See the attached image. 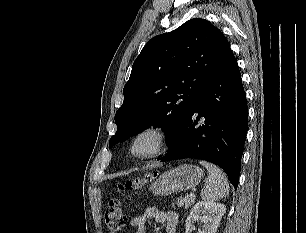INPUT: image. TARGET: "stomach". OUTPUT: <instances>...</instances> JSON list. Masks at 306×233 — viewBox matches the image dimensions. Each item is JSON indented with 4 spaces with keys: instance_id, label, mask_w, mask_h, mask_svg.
<instances>
[{
    "instance_id": "0dacf381",
    "label": "stomach",
    "mask_w": 306,
    "mask_h": 233,
    "mask_svg": "<svg viewBox=\"0 0 306 233\" xmlns=\"http://www.w3.org/2000/svg\"><path fill=\"white\" fill-rule=\"evenodd\" d=\"M203 171L195 165L184 164L161 174L150 190L155 195H169L195 187L202 179Z\"/></svg>"
}]
</instances>
